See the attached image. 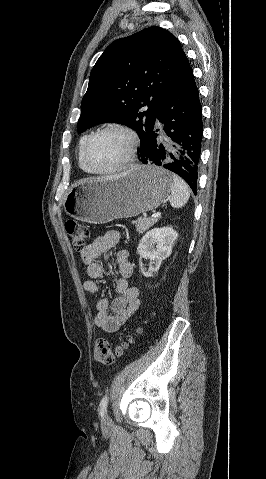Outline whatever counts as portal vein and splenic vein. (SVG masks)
Masks as SVG:
<instances>
[{
	"label": "portal vein and splenic vein",
	"mask_w": 266,
	"mask_h": 479,
	"mask_svg": "<svg viewBox=\"0 0 266 479\" xmlns=\"http://www.w3.org/2000/svg\"><path fill=\"white\" fill-rule=\"evenodd\" d=\"M161 216L160 212H156L152 214V218H159Z\"/></svg>",
	"instance_id": "1"
}]
</instances>
